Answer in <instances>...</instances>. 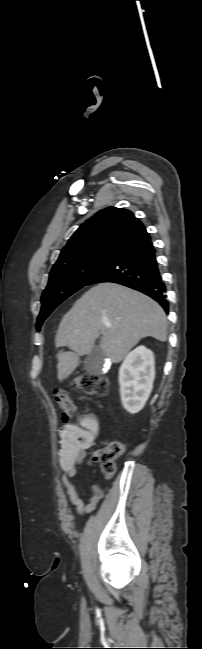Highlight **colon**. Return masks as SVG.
I'll list each match as a JSON object with an SVG mask.
<instances>
[{"label": "colon", "instance_id": "colon-1", "mask_svg": "<svg viewBox=\"0 0 202 649\" xmlns=\"http://www.w3.org/2000/svg\"><path fill=\"white\" fill-rule=\"evenodd\" d=\"M73 387L80 389L87 394L105 395L108 390V381L106 378L83 374L73 381ZM54 398L66 417L72 416L75 412V405L70 394L65 389H58L54 392ZM125 451V446L120 441H112L102 448L94 451L93 461L97 463L103 474L110 478L115 474V461Z\"/></svg>", "mask_w": 202, "mask_h": 649}]
</instances>
